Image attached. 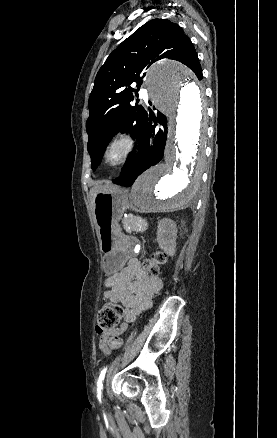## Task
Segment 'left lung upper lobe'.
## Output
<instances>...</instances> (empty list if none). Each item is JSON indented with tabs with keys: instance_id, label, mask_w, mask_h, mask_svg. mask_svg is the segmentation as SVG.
<instances>
[{
	"instance_id": "5c2ea615",
	"label": "left lung upper lobe",
	"mask_w": 277,
	"mask_h": 438,
	"mask_svg": "<svg viewBox=\"0 0 277 438\" xmlns=\"http://www.w3.org/2000/svg\"><path fill=\"white\" fill-rule=\"evenodd\" d=\"M169 58L180 61L203 78L195 48L181 27L166 19H153L125 39L98 71L89 97L86 129L91 167L99 165L106 146L116 131H130L141 142L148 130V113L135 100L132 82L139 89L145 69Z\"/></svg>"
}]
</instances>
